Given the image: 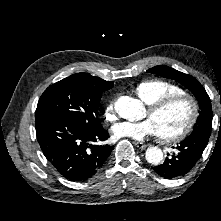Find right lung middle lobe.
<instances>
[{"instance_id":"right-lung-middle-lobe-1","label":"right lung middle lobe","mask_w":221,"mask_h":221,"mask_svg":"<svg viewBox=\"0 0 221 221\" xmlns=\"http://www.w3.org/2000/svg\"><path fill=\"white\" fill-rule=\"evenodd\" d=\"M106 90L97 84L67 77L44 91L36 110L53 112L88 130L100 129L98 106Z\"/></svg>"}]
</instances>
